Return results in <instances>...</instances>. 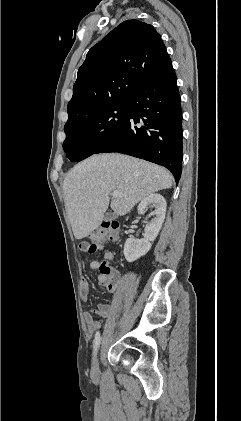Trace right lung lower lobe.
<instances>
[{"instance_id":"obj_1","label":"right lung lower lobe","mask_w":241,"mask_h":421,"mask_svg":"<svg viewBox=\"0 0 241 421\" xmlns=\"http://www.w3.org/2000/svg\"><path fill=\"white\" fill-rule=\"evenodd\" d=\"M124 126L96 153L119 152L182 171V109L170 58L129 98Z\"/></svg>"}]
</instances>
